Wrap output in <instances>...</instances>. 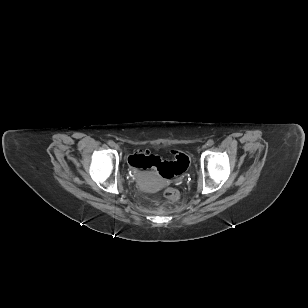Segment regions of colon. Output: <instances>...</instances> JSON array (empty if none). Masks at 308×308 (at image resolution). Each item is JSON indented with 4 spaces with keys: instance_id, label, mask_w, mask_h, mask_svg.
<instances>
[{
    "instance_id": "5ec220e1",
    "label": "colon",
    "mask_w": 308,
    "mask_h": 308,
    "mask_svg": "<svg viewBox=\"0 0 308 308\" xmlns=\"http://www.w3.org/2000/svg\"><path fill=\"white\" fill-rule=\"evenodd\" d=\"M172 161H162L158 157L141 151L130 157V164L141 169H155L164 178H172L185 172L189 166V159L186 154L180 151H173ZM164 197L170 202H177L180 198L179 191L175 188H167Z\"/></svg>"
}]
</instances>
